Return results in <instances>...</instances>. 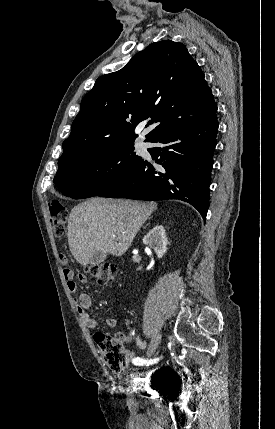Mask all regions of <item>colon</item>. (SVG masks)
Segmentation results:
<instances>
[{
	"label": "colon",
	"instance_id": "5ec220e1",
	"mask_svg": "<svg viewBox=\"0 0 275 429\" xmlns=\"http://www.w3.org/2000/svg\"><path fill=\"white\" fill-rule=\"evenodd\" d=\"M49 211L54 234L62 236L67 225L68 213L66 207L60 201L52 200L49 203ZM60 262L63 265L67 263L64 255H60ZM86 273L98 283L106 285L114 282L118 274V268L115 264L106 262L88 267ZM94 340L108 369L113 372H120L128 366L132 355L125 349L124 341L120 336L96 333Z\"/></svg>",
	"mask_w": 275,
	"mask_h": 429
}]
</instances>
